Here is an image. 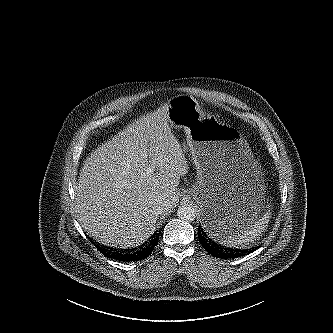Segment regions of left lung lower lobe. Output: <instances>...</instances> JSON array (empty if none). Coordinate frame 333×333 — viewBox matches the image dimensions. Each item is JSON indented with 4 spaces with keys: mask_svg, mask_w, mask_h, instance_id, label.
I'll use <instances>...</instances> for the list:
<instances>
[{
    "mask_svg": "<svg viewBox=\"0 0 333 333\" xmlns=\"http://www.w3.org/2000/svg\"><path fill=\"white\" fill-rule=\"evenodd\" d=\"M198 237L204 249L216 258H237L248 252V250L226 248L225 246L219 244L217 240H215L213 236H210L205 228H202L201 226L198 228Z\"/></svg>",
    "mask_w": 333,
    "mask_h": 333,
    "instance_id": "1",
    "label": "left lung lower lobe"
}]
</instances>
